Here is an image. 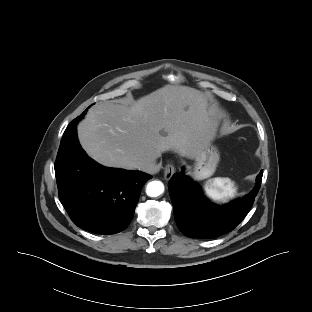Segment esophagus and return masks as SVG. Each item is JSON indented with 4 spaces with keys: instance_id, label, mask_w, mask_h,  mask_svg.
<instances>
[{
    "instance_id": "34e87169",
    "label": "esophagus",
    "mask_w": 312,
    "mask_h": 312,
    "mask_svg": "<svg viewBox=\"0 0 312 312\" xmlns=\"http://www.w3.org/2000/svg\"><path fill=\"white\" fill-rule=\"evenodd\" d=\"M175 173V168L171 163H168L164 168V178L169 180Z\"/></svg>"
}]
</instances>
